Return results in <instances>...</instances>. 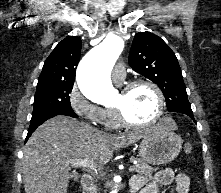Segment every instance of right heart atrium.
<instances>
[{"instance_id": "right-heart-atrium-1", "label": "right heart atrium", "mask_w": 221, "mask_h": 193, "mask_svg": "<svg viewBox=\"0 0 221 193\" xmlns=\"http://www.w3.org/2000/svg\"><path fill=\"white\" fill-rule=\"evenodd\" d=\"M71 109L82 119L92 124L104 123V109L89 101L77 85H73L68 94Z\"/></svg>"}]
</instances>
